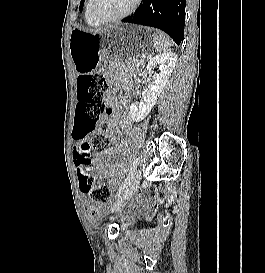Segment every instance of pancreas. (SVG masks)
I'll use <instances>...</instances> for the list:
<instances>
[{"label":"pancreas","mask_w":265,"mask_h":273,"mask_svg":"<svg viewBox=\"0 0 265 273\" xmlns=\"http://www.w3.org/2000/svg\"><path fill=\"white\" fill-rule=\"evenodd\" d=\"M144 63V59H137V58H133L130 59V64L129 65H140Z\"/></svg>","instance_id":"cf45deb5"}]
</instances>
